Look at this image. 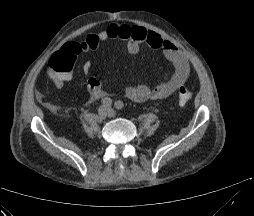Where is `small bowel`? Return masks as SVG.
Segmentation results:
<instances>
[{
  "label": "small bowel",
  "mask_w": 254,
  "mask_h": 216,
  "mask_svg": "<svg viewBox=\"0 0 254 216\" xmlns=\"http://www.w3.org/2000/svg\"><path fill=\"white\" fill-rule=\"evenodd\" d=\"M109 39H122L127 43V51L131 55H137L143 44L161 50L164 56L174 66V72L170 78L163 80L156 86L149 83H143L137 86H126L125 95L137 102L145 100L163 101L174 94L187 81L190 74V65L185 55L169 40L161 35L138 25H115L111 24L98 33L87 35L86 39L81 42L69 41L62 47V52L74 54L73 46L79 44L82 51L95 50L98 44ZM54 57V56H53ZM48 61L50 64L52 58ZM91 62L88 60L83 64V71L89 74ZM54 85L62 88L64 84L73 78V73L56 74L51 76ZM89 99L95 101L107 95L99 79L95 76L88 78Z\"/></svg>",
  "instance_id": "c3829d8e"
}]
</instances>
